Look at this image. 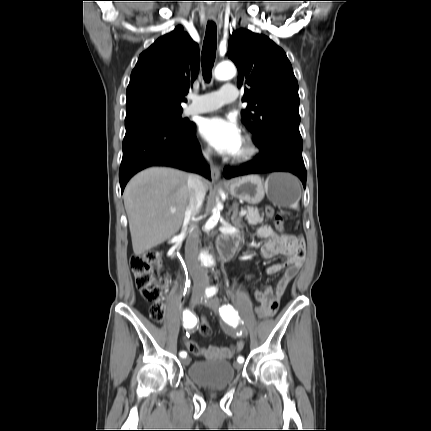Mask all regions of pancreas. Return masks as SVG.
Listing matches in <instances>:
<instances>
[{
	"instance_id": "obj_1",
	"label": "pancreas",
	"mask_w": 431,
	"mask_h": 431,
	"mask_svg": "<svg viewBox=\"0 0 431 431\" xmlns=\"http://www.w3.org/2000/svg\"><path fill=\"white\" fill-rule=\"evenodd\" d=\"M246 220L249 225H257L263 222V215L259 214V210L253 207H247Z\"/></svg>"
}]
</instances>
